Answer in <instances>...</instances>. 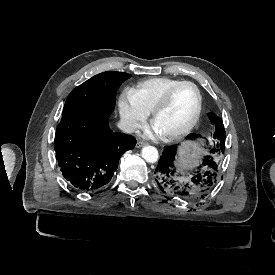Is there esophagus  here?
I'll list each match as a JSON object with an SVG mask.
<instances>
[{
	"label": "esophagus",
	"mask_w": 275,
	"mask_h": 275,
	"mask_svg": "<svg viewBox=\"0 0 275 275\" xmlns=\"http://www.w3.org/2000/svg\"><path fill=\"white\" fill-rule=\"evenodd\" d=\"M145 145H147L146 142H144V141H138L137 144H136V147L139 148V147H143Z\"/></svg>",
	"instance_id": "1"
}]
</instances>
